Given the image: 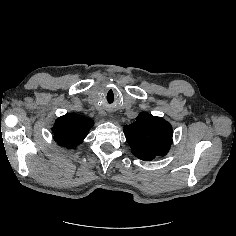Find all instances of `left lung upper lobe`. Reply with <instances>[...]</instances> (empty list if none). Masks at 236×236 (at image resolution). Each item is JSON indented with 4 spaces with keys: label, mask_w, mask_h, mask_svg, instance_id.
Returning <instances> with one entry per match:
<instances>
[{
    "label": "left lung upper lobe",
    "mask_w": 236,
    "mask_h": 236,
    "mask_svg": "<svg viewBox=\"0 0 236 236\" xmlns=\"http://www.w3.org/2000/svg\"><path fill=\"white\" fill-rule=\"evenodd\" d=\"M172 127L161 117L142 112L136 121L124 127L132 153L145 161L164 156L172 142Z\"/></svg>",
    "instance_id": "5c2ea615"
}]
</instances>
